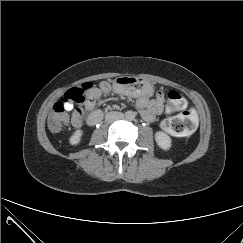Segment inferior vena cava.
Wrapping results in <instances>:
<instances>
[{"instance_id":"obj_1","label":"inferior vena cava","mask_w":243,"mask_h":243,"mask_svg":"<svg viewBox=\"0 0 243 243\" xmlns=\"http://www.w3.org/2000/svg\"><path fill=\"white\" fill-rule=\"evenodd\" d=\"M121 117H122V115L119 114V115H117V117H115V118H121ZM105 119H106L107 122H112V121H114V117H112V115H110V114L107 115Z\"/></svg>"}]
</instances>
